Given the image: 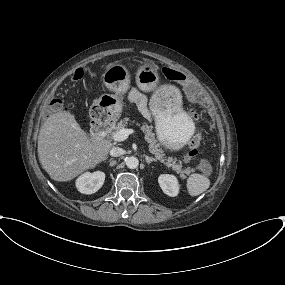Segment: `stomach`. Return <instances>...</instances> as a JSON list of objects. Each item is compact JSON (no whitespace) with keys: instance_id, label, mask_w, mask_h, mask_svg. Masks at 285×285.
Returning <instances> with one entry per match:
<instances>
[{"instance_id":"obj_1","label":"stomach","mask_w":285,"mask_h":285,"mask_svg":"<svg viewBox=\"0 0 285 285\" xmlns=\"http://www.w3.org/2000/svg\"><path fill=\"white\" fill-rule=\"evenodd\" d=\"M104 85L115 94H104L96 99L89 109V115L97 124H108L121 115L122 98L130 87L129 70L122 64L109 65L103 76ZM159 74L151 64L139 67L136 84L143 92L154 91L150 99V110L155 118V128L160 142L176 151L188 143L194 124L182 110V95L173 85L158 87Z\"/></svg>"}]
</instances>
